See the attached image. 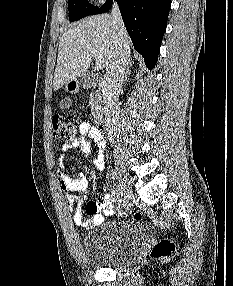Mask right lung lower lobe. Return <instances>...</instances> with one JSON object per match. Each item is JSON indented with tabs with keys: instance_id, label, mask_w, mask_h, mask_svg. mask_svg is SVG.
Listing matches in <instances>:
<instances>
[{
	"instance_id": "98d812e1",
	"label": "right lung lower lobe",
	"mask_w": 233,
	"mask_h": 286,
	"mask_svg": "<svg viewBox=\"0 0 233 286\" xmlns=\"http://www.w3.org/2000/svg\"><path fill=\"white\" fill-rule=\"evenodd\" d=\"M116 1L135 50L143 56L146 66L153 69L167 25L171 0ZM112 3L113 0H106L104 5L96 8L91 15L107 12Z\"/></svg>"
}]
</instances>
